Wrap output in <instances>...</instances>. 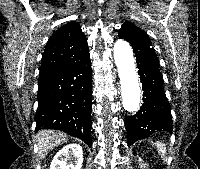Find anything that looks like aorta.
I'll list each match as a JSON object with an SVG mask.
<instances>
[{"mask_svg":"<svg viewBox=\"0 0 200 169\" xmlns=\"http://www.w3.org/2000/svg\"><path fill=\"white\" fill-rule=\"evenodd\" d=\"M114 59L120 78L123 107L128 112H136L139 109L141 89L133 51L128 42L121 39L115 42Z\"/></svg>","mask_w":200,"mask_h":169,"instance_id":"aorta-1","label":"aorta"}]
</instances>
